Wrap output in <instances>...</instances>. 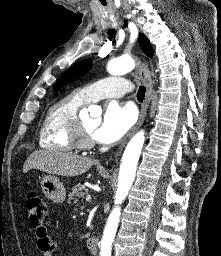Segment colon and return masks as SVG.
Segmentation results:
<instances>
[{"label":"colon","instance_id":"obj_1","mask_svg":"<svg viewBox=\"0 0 221 256\" xmlns=\"http://www.w3.org/2000/svg\"><path fill=\"white\" fill-rule=\"evenodd\" d=\"M26 208L31 226L37 231L45 229V223L48 218V206L36 192H29L27 194Z\"/></svg>","mask_w":221,"mask_h":256}]
</instances>
